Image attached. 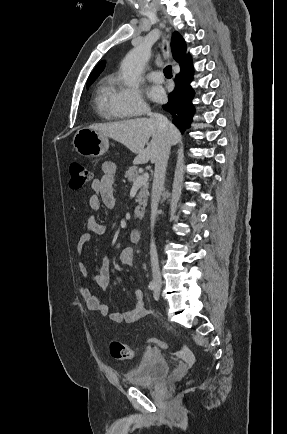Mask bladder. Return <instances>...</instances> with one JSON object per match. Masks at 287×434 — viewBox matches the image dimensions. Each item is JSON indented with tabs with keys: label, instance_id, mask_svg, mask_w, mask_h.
I'll use <instances>...</instances> for the list:
<instances>
[{
	"label": "bladder",
	"instance_id": "obj_1",
	"mask_svg": "<svg viewBox=\"0 0 287 434\" xmlns=\"http://www.w3.org/2000/svg\"><path fill=\"white\" fill-rule=\"evenodd\" d=\"M169 372L170 366L166 357L159 352H149L125 374V380L135 387L148 388L166 377Z\"/></svg>",
	"mask_w": 287,
	"mask_h": 434
}]
</instances>
